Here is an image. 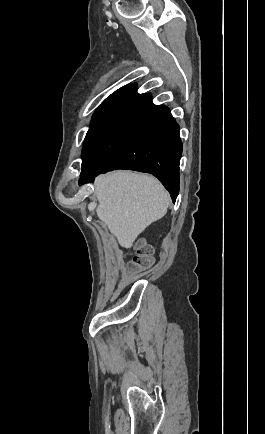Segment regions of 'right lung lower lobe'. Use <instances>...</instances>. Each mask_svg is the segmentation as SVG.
Masks as SVG:
<instances>
[{"instance_id": "right-lung-lower-lobe-1", "label": "right lung lower lobe", "mask_w": 265, "mask_h": 434, "mask_svg": "<svg viewBox=\"0 0 265 434\" xmlns=\"http://www.w3.org/2000/svg\"><path fill=\"white\" fill-rule=\"evenodd\" d=\"M128 85L102 124L82 162L79 184L100 173L130 169L151 173L170 192H179L182 143L179 125L166 106L154 105L149 94Z\"/></svg>"}]
</instances>
